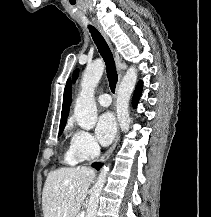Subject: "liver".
Segmentation results:
<instances>
[{
    "instance_id": "1",
    "label": "liver",
    "mask_w": 211,
    "mask_h": 217,
    "mask_svg": "<svg viewBox=\"0 0 211 217\" xmlns=\"http://www.w3.org/2000/svg\"><path fill=\"white\" fill-rule=\"evenodd\" d=\"M95 178L91 168H60L48 174L42 193L44 217H75Z\"/></svg>"
}]
</instances>
